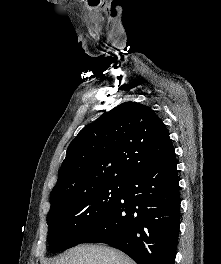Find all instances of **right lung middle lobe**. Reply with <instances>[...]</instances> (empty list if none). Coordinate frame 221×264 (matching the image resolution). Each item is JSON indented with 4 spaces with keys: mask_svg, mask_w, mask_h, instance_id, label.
I'll return each mask as SVG.
<instances>
[{
    "mask_svg": "<svg viewBox=\"0 0 221 264\" xmlns=\"http://www.w3.org/2000/svg\"><path fill=\"white\" fill-rule=\"evenodd\" d=\"M123 187L124 182H116L77 192L50 210V251L56 253L80 244L115 207Z\"/></svg>",
    "mask_w": 221,
    "mask_h": 264,
    "instance_id": "1",
    "label": "right lung middle lobe"
}]
</instances>
